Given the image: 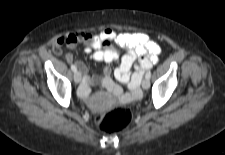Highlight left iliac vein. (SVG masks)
Listing matches in <instances>:
<instances>
[{"instance_id": "left-iliac-vein-1", "label": "left iliac vein", "mask_w": 225, "mask_h": 155, "mask_svg": "<svg viewBox=\"0 0 225 155\" xmlns=\"http://www.w3.org/2000/svg\"><path fill=\"white\" fill-rule=\"evenodd\" d=\"M142 87L143 89H148L150 87V81L148 78H144L143 81H142Z\"/></svg>"}]
</instances>
